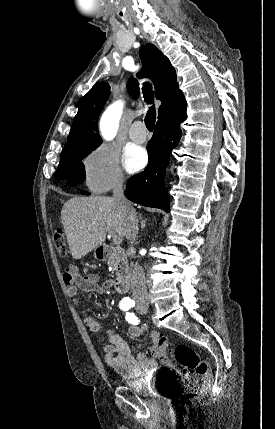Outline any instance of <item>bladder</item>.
<instances>
[{
  "label": "bladder",
  "mask_w": 275,
  "mask_h": 429,
  "mask_svg": "<svg viewBox=\"0 0 275 429\" xmlns=\"http://www.w3.org/2000/svg\"><path fill=\"white\" fill-rule=\"evenodd\" d=\"M128 386L137 398H150L151 403H176L179 397L176 377L131 378Z\"/></svg>",
  "instance_id": "bladder-1"
}]
</instances>
